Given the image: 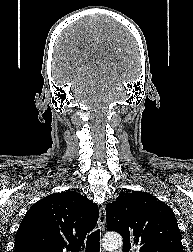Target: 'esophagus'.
<instances>
[{"label": "esophagus", "mask_w": 193, "mask_h": 252, "mask_svg": "<svg viewBox=\"0 0 193 252\" xmlns=\"http://www.w3.org/2000/svg\"><path fill=\"white\" fill-rule=\"evenodd\" d=\"M98 225H99V228L102 231L105 230V226H106V210H105V206L104 205H101L100 209H99Z\"/></svg>", "instance_id": "1"}]
</instances>
